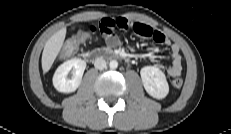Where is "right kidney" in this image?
Segmentation results:
<instances>
[{
    "label": "right kidney",
    "mask_w": 231,
    "mask_h": 134,
    "mask_svg": "<svg viewBox=\"0 0 231 134\" xmlns=\"http://www.w3.org/2000/svg\"><path fill=\"white\" fill-rule=\"evenodd\" d=\"M86 62L79 58H73L61 64L54 73L53 85L62 93L74 92L80 85ZM72 70V78H67Z\"/></svg>",
    "instance_id": "obj_1"
}]
</instances>
